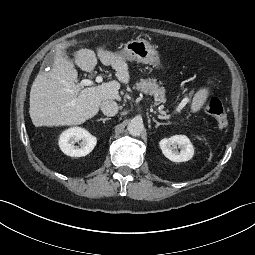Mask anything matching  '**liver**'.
Instances as JSON below:
<instances>
[{
	"mask_svg": "<svg viewBox=\"0 0 255 255\" xmlns=\"http://www.w3.org/2000/svg\"><path fill=\"white\" fill-rule=\"evenodd\" d=\"M76 40L65 41L55 46L51 69H40L30 91V118L36 127L79 125L95 116L105 100H121L120 84L110 81L98 86L82 88L75 84L78 72L65 55L64 50L76 44ZM97 56L105 66H111L117 79L129 83V67L120 52L97 48ZM75 63L86 72H92L97 57L91 49H80L75 53Z\"/></svg>",
	"mask_w": 255,
	"mask_h": 255,
	"instance_id": "6515ba94",
	"label": "liver"
}]
</instances>
